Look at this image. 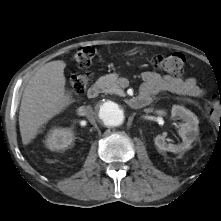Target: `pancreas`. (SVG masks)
<instances>
[{"mask_svg":"<svg viewBox=\"0 0 221 221\" xmlns=\"http://www.w3.org/2000/svg\"><path fill=\"white\" fill-rule=\"evenodd\" d=\"M97 84L103 93L120 94L123 92L116 74H108L100 77Z\"/></svg>","mask_w":221,"mask_h":221,"instance_id":"cf45deb5","label":"pancreas"}]
</instances>
